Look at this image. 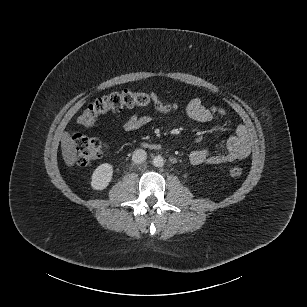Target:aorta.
<instances>
[{
    "mask_svg": "<svg viewBox=\"0 0 307 307\" xmlns=\"http://www.w3.org/2000/svg\"><path fill=\"white\" fill-rule=\"evenodd\" d=\"M152 163L155 167H162V166H164L165 161H164V158L162 156L158 155V156H155L153 158Z\"/></svg>",
    "mask_w": 307,
    "mask_h": 307,
    "instance_id": "1",
    "label": "aorta"
}]
</instances>
